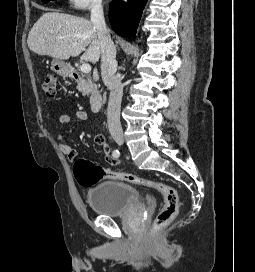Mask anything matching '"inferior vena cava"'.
Listing matches in <instances>:
<instances>
[{
	"label": "inferior vena cava",
	"mask_w": 255,
	"mask_h": 272,
	"mask_svg": "<svg viewBox=\"0 0 255 272\" xmlns=\"http://www.w3.org/2000/svg\"><path fill=\"white\" fill-rule=\"evenodd\" d=\"M91 22L97 31L101 48V76L104 84L110 90L107 122L111 135L121 134L120 109L123 95L121 80L115 76L117 71L116 47L111 40L109 30L106 27L104 11L101 3H97L91 10Z\"/></svg>",
	"instance_id": "602c4592"
}]
</instances>
